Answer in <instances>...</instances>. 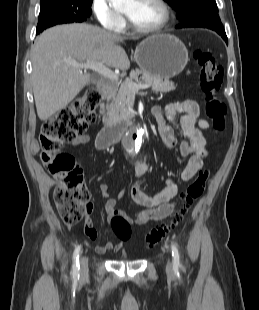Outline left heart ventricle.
<instances>
[{"mask_svg":"<svg viewBox=\"0 0 259 310\" xmlns=\"http://www.w3.org/2000/svg\"><path fill=\"white\" fill-rule=\"evenodd\" d=\"M123 12L142 28L154 27L163 18V11L155 0H130Z\"/></svg>","mask_w":259,"mask_h":310,"instance_id":"b2bd125f","label":"left heart ventricle"}]
</instances>
